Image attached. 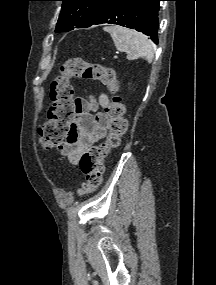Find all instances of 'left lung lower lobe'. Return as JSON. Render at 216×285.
<instances>
[{
    "instance_id": "left-lung-lower-lobe-1",
    "label": "left lung lower lobe",
    "mask_w": 216,
    "mask_h": 285,
    "mask_svg": "<svg viewBox=\"0 0 216 285\" xmlns=\"http://www.w3.org/2000/svg\"><path fill=\"white\" fill-rule=\"evenodd\" d=\"M160 1L162 0H112L91 25H121L148 35L158 44Z\"/></svg>"
}]
</instances>
